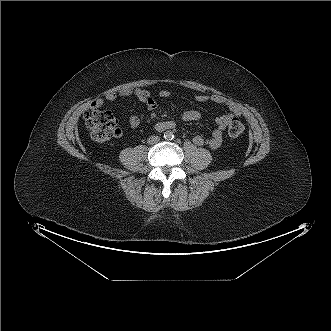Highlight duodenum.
Segmentation results:
<instances>
[{
  "mask_svg": "<svg viewBox=\"0 0 331 331\" xmlns=\"http://www.w3.org/2000/svg\"><path fill=\"white\" fill-rule=\"evenodd\" d=\"M175 127V124L174 123H168L167 125H166V130L167 129H173Z\"/></svg>",
  "mask_w": 331,
  "mask_h": 331,
  "instance_id": "410a0bca",
  "label": "duodenum"
}]
</instances>
